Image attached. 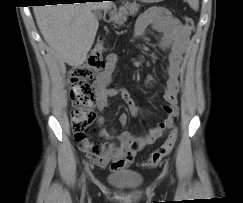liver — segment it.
Returning <instances> with one entry per match:
<instances>
[{
    "instance_id": "1",
    "label": "liver",
    "mask_w": 243,
    "mask_h": 203,
    "mask_svg": "<svg viewBox=\"0 0 243 203\" xmlns=\"http://www.w3.org/2000/svg\"><path fill=\"white\" fill-rule=\"evenodd\" d=\"M110 1L41 5L34 8L39 30L49 46L72 67L87 59L99 23L92 12L111 7Z\"/></svg>"
}]
</instances>
